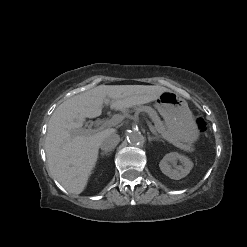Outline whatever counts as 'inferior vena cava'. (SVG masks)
Segmentation results:
<instances>
[{"label": "inferior vena cava", "mask_w": 247, "mask_h": 247, "mask_svg": "<svg viewBox=\"0 0 247 247\" xmlns=\"http://www.w3.org/2000/svg\"><path fill=\"white\" fill-rule=\"evenodd\" d=\"M120 142V137L116 133H111L105 135L101 142H100V148L101 150L105 152H110L112 151Z\"/></svg>", "instance_id": "602c4592"}]
</instances>
